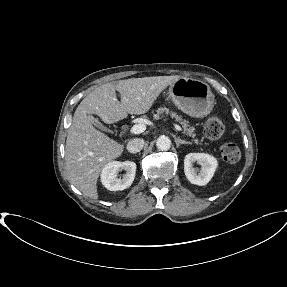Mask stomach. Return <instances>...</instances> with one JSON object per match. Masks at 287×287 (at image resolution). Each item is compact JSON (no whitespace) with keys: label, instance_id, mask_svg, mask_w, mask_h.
Returning a JSON list of instances; mask_svg holds the SVG:
<instances>
[{"label":"stomach","instance_id":"obj_1","mask_svg":"<svg viewBox=\"0 0 287 287\" xmlns=\"http://www.w3.org/2000/svg\"><path fill=\"white\" fill-rule=\"evenodd\" d=\"M167 93L181 111L192 117H205L214 106L209 85L198 79L181 77L169 86Z\"/></svg>","mask_w":287,"mask_h":287}]
</instances>
